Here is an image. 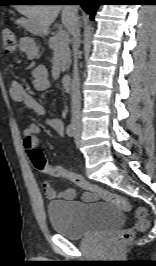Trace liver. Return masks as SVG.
Masks as SVG:
<instances>
[{
  "label": "liver",
  "instance_id": "obj_1",
  "mask_svg": "<svg viewBox=\"0 0 156 266\" xmlns=\"http://www.w3.org/2000/svg\"><path fill=\"white\" fill-rule=\"evenodd\" d=\"M17 10L44 29L55 21L60 11L62 23L69 31L73 21L71 5H21Z\"/></svg>",
  "mask_w": 156,
  "mask_h": 266
}]
</instances>
